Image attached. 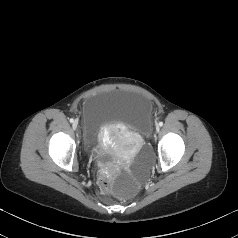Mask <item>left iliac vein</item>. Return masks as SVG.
Returning a JSON list of instances; mask_svg holds the SVG:
<instances>
[{
	"mask_svg": "<svg viewBox=\"0 0 238 238\" xmlns=\"http://www.w3.org/2000/svg\"><path fill=\"white\" fill-rule=\"evenodd\" d=\"M159 130H160V127L157 125L156 126V131L159 132Z\"/></svg>",
	"mask_w": 238,
	"mask_h": 238,
	"instance_id": "left-iliac-vein-1",
	"label": "left iliac vein"
}]
</instances>
